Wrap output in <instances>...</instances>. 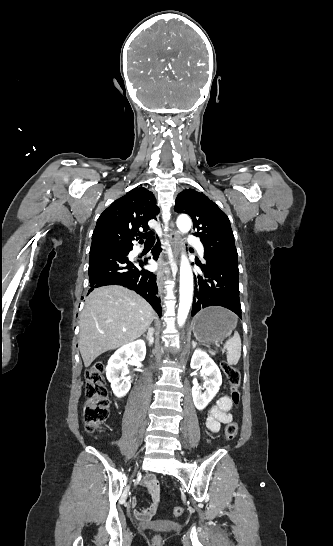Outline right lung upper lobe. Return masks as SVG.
Returning a JSON list of instances; mask_svg holds the SVG:
<instances>
[{"label":"right lung upper lobe","instance_id":"1","mask_svg":"<svg viewBox=\"0 0 333 546\" xmlns=\"http://www.w3.org/2000/svg\"><path fill=\"white\" fill-rule=\"evenodd\" d=\"M153 193L143 187L134 188L115 200L97 220L91 249L108 246H133L139 229L148 231V221L156 219L159 208Z\"/></svg>","mask_w":333,"mask_h":546}]
</instances>
